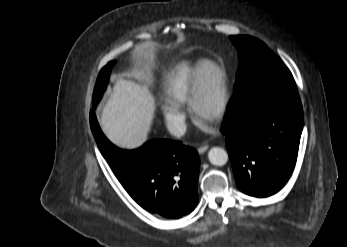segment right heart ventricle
<instances>
[{
  "label": "right heart ventricle",
  "mask_w": 347,
  "mask_h": 247,
  "mask_svg": "<svg viewBox=\"0 0 347 247\" xmlns=\"http://www.w3.org/2000/svg\"><path fill=\"white\" fill-rule=\"evenodd\" d=\"M209 61L197 63H182L170 74L166 86L165 97L168 102L183 105L189 101L192 84L199 71L206 67Z\"/></svg>",
  "instance_id": "e07e8e85"
}]
</instances>
